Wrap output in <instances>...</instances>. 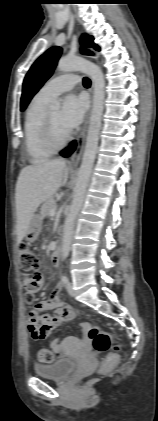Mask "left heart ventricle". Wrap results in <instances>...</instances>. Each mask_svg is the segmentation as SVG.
I'll return each mask as SVG.
<instances>
[{"label": "left heart ventricle", "mask_w": 158, "mask_h": 421, "mask_svg": "<svg viewBox=\"0 0 158 421\" xmlns=\"http://www.w3.org/2000/svg\"><path fill=\"white\" fill-rule=\"evenodd\" d=\"M50 116L56 135L59 138L65 136L68 133V131L63 127L61 123V111L58 109L52 110L50 111Z\"/></svg>", "instance_id": "1"}]
</instances>
